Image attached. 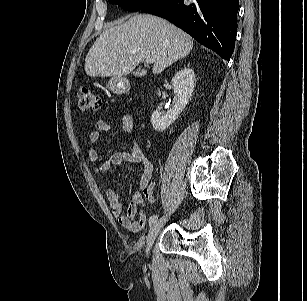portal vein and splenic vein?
Masks as SVG:
<instances>
[{
  "instance_id": "portal-vein-and-splenic-vein-1",
  "label": "portal vein and splenic vein",
  "mask_w": 307,
  "mask_h": 301,
  "mask_svg": "<svg viewBox=\"0 0 307 301\" xmlns=\"http://www.w3.org/2000/svg\"><path fill=\"white\" fill-rule=\"evenodd\" d=\"M145 62H146V63H154L155 60L152 59L151 57H146V58H145Z\"/></svg>"
}]
</instances>
